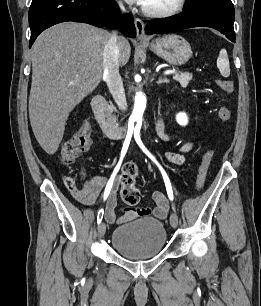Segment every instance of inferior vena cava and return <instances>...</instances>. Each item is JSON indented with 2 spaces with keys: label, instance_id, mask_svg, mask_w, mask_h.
Listing matches in <instances>:
<instances>
[{
  "label": "inferior vena cava",
  "instance_id": "1",
  "mask_svg": "<svg viewBox=\"0 0 261 306\" xmlns=\"http://www.w3.org/2000/svg\"><path fill=\"white\" fill-rule=\"evenodd\" d=\"M121 9L124 7L120 5ZM103 79L110 94L121 111L127 108L123 82L119 74V46L116 31L110 34L103 52Z\"/></svg>",
  "mask_w": 261,
  "mask_h": 306
}]
</instances>
